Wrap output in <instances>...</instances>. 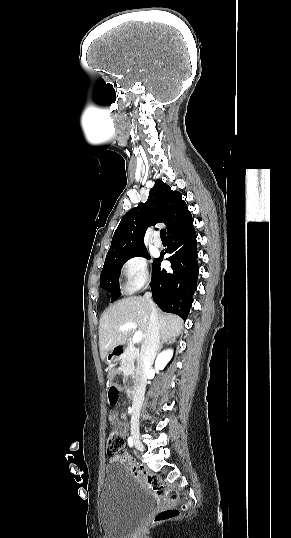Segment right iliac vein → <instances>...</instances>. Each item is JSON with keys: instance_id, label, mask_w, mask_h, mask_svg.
I'll use <instances>...</instances> for the list:
<instances>
[{"instance_id": "obj_1", "label": "right iliac vein", "mask_w": 291, "mask_h": 538, "mask_svg": "<svg viewBox=\"0 0 291 538\" xmlns=\"http://www.w3.org/2000/svg\"><path fill=\"white\" fill-rule=\"evenodd\" d=\"M131 435H132V439H133L135 447L138 450L143 451L144 446H143V444L141 443V440H140L139 425H138L137 422H133L131 424Z\"/></svg>"}]
</instances>
